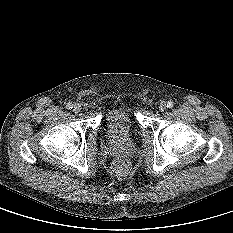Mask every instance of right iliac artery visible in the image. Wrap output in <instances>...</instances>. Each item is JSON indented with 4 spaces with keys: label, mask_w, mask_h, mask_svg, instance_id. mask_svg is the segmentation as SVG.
Listing matches in <instances>:
<instances>
[{
    "label": "right iliac artery",
    "mask_w": 233,
    "mask_h": 233,
    "mask_svg": "<svg viewBox=\"0 0 233 233\" xmlns=\"http://www.w3.org/2000/svg\"><path fill=\"white\" fill-rule=\"evenodd\" d=\"M66 108L67 109H72L73 108V104L72 103H67Z\"/></svg>",
    "instance_id": "82829eb1"
}]
</instances>
